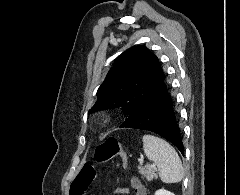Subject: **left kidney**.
I'll return each instance as SVG.
<instances>
[{
    "label": "left kidney",
    "mask_w": 240,
    "mask_h": 195,
    "mask_svg": "<svg viewBox=\"0 0 240 195\" xmlns=\"http://www.w3.org/2000/svg\"><path fill=\"white\" fill-rule=\"evenodd\" d=\"M154 195H175L172 191H168V189H157Z\"/></svg>",
    "instance_id": "5707ae66"
}]
</instances>
